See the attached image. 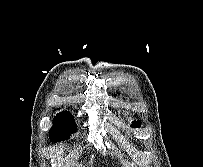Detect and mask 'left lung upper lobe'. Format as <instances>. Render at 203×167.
<instances>
[{
  "label": "left lung upper lobe",
  "instance_id": "5c2ea615",
  "mask_svg": "<svg viewBox=\"0 0 203 167\" xmlns=\"http://www.w3.org/2000/svg\"><path fill=\"white\" fill-rule=\"evenodd\" d=\"M140 125H141V121H134L133 123H132V127L134 126H136V127H140Z\"/></svg>",
  "mask_w": 203,
  "mask_h": 167
}]
</instances>
